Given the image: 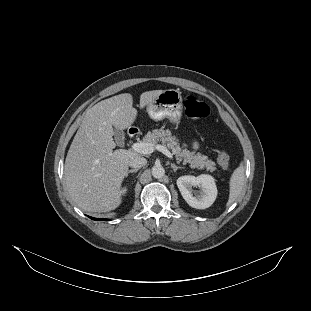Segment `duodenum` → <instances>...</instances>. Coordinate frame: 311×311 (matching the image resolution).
I'll return each instance as SVG.
<instances>
[{"label": "duodenum", "instance_id": "duodenum-1", "mask_svg": "<svg viewBox=\"0 0 311 311\" xmlns=\"http://www.w3.org/2000/svg\"><path fill=\"white\" fill-rule=\"evenodd\" d=\"M139 133V130L136 128V127H131L129 130H128V135L129 137H134L136 136L137 134Z\"/></svg>", "mask_w": 311, "mask_h": 311}]
</instances>
